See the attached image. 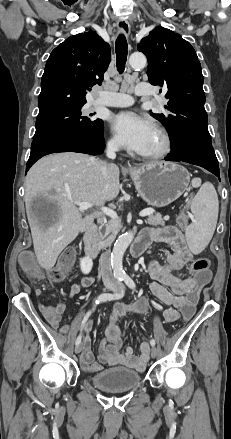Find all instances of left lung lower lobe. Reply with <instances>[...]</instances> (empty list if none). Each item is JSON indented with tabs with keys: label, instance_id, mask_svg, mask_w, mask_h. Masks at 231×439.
<instances>
[{
	"label": "left lung lower lobe",
	"instance_id": "obj_1",
	"mask_svg": "<svg viewBox=\"0 0 231 439\" xmlns=\"http://www.w3.org/2000/svg\"><path fill=\"white\" fill-rule=\"evenodd\" d=\"M166 161H183L201 166L217 177H219V166L214 149L211 143L197 140L184 141L181 144L172 146V152ZM220 180V178H219Z\"/></svg>",
	"mask_w": 231,
	"mask_h": 439
}]
</instances>
